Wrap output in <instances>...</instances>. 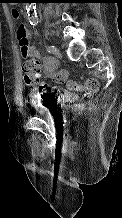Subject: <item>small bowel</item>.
Listing matches in <instances>:
<instances>
[{"label": "small bowel", "mask_w": 122, "mask_h": 218, "mask_svg": "<svg viewBox=\"0 0 122 218\" xmlns=\"http://www.w3.org/2000/svg\"><path fill=\"white\" fill-rule=\"evenodd\" d=\"M31 56L34 60L38 61L40 64V68L43 69L44 77L47 79H53L57 81H64L67 78V74L65 72H58V64L54 60L50 58L41 57L38 53L32 50ZM40 77L38 72L37 78Z\"/></svg>", "instance_id": "c3829d8e"}]
</instances>
